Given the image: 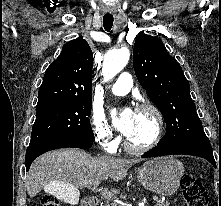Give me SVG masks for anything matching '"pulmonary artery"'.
Instances as JSON below:
<instances>
[{"label":"pulmonary artery","mask_w":221,"mask_h":206,"mask_svg":"<svg viewBox=\"0 0 221 206\" xmlns=\"http://www.w3.org/2000/svg\"><path fill=\"white\" fill-rule=\"evenodd\" d=\"M133 86L132 76L123 72L119 75L117 81L112 86L111 92L116 96L126 95Z\"/></svg>","instance_id":"pulmonary-artery-1"}]
</instances>
